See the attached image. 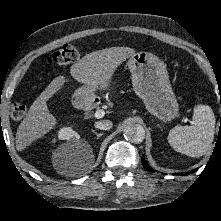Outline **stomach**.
Masks as SVG:
<instances>
[{
    "instance_id": "1",
    "label": "stomach",
    "mask_w": 221,
    "mask_h": 221,
    "mask_svg": "<svg viewBox=\"0 0 221 221\" xmlns=\"http://www.w3.org/2000/svg\"><path fill=\"white\" fill-rule=\"evenodd\" d=\"M133 89L144 102L147 111L157 119L169 123L179 114V105L170 84L165 64L148 52H138L129 57ZM88 86L79 88L74 96L85 101L93 98Z\"/></svg>"
}]
</instances>
